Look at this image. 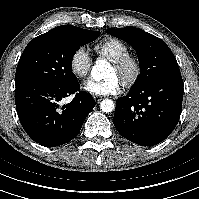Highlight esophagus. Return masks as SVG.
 I'll use <instances>...</instances> for the list:
<instances>
[{
  "label": "esophagus",
  "instance_id": "esophagus-1",
  "mask_svg": "<svg viewBox=\"0 0 199 199\" xmlns=\"http://www.w3.org/2000/svg\"><path fill=\"white\" fill-rule=\"evenodd\" d=\"M94 100L99 103L103 98L101 96H98V95H94L93 96Z\"/></svg>",
  "mask_w": 199,
  "mask_h": 199
}]
</instances>
